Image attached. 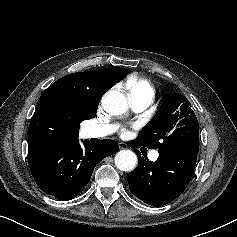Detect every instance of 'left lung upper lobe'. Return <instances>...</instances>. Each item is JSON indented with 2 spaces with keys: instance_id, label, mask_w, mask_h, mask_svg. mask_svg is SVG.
<instances>
[{
  "instance_id": "left-lung-upper-lobe-1",
  "label": "left lung upper lobe",
  "mask_w": 237,
  "mask_h": 237,
  "mask_svg": "<svg viewBox=\"0 0 237 237\" xmlns=\"http://www.w3.org/2000/svg\"><path fill=\"white\" fill-rule=\"evenodd\" d=\"M199 134V124L191 104L181 94L172 93L142 131L136 141L159 151H177Z\"/></svg>"
}]
</instances>
